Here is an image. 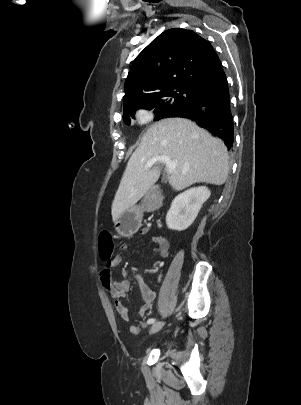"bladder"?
<instances>
[{"label":"bladder","instance_id":"obj_1","mask_svg":"<svg viewBox=\"0 0 301 405\" xmlns=\"http://www.w3.org/2000/svg\"><path fill=\"white\" fill-rule=\"evenodd\" d=\"M175 346V341L171 338H164L154 344V348H159L163 351L169 350Z\"/></svg>","mask_w":301,"mask_h":405}]
</instances>
